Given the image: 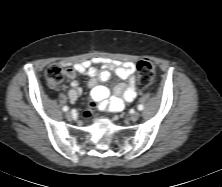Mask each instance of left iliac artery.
<instances>
[{
    "label": "left iliac artery",
    "instance_id": "1",
    "mask_svg": "<svg viewBox=\"0 0 222 187\" xmlns=\"http://www.w3.org/2000/svg\"><path fill=\"white\" fill-rule=\"evenodd\" d=\"M144 109V106L142 104L138 105V110H143Z\"/></svg>",
    "mask_w": 222,
    "mask_h": 187
}]
</instances>
